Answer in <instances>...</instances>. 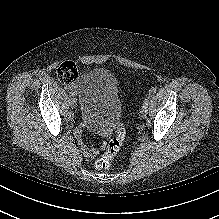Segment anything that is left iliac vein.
<instances>
[{"label":"left iliac vein","instance_id":"4c4485c4","mask_svg":"<svg viewBox=\"0 0 219 219\" xmlns=\"http://www.w3.org/2000/svg\"><path fill=\"white\" fill-rule=\"evenodd\" d=\"M147 113H148V106L142 105L141 110H140V116L142 118H145L147 116Z\"/></svg>","mask_w":219,"mask_h":219}]
</instances>
